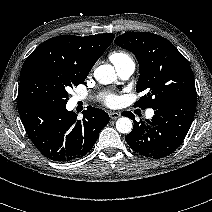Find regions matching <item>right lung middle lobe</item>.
Instances as JSON below:
<instances>
[{
  "mask_svg": "<svg viewBox=\"0 0 212 212\" xmlns=\"http://www.w3.org/2000/svg\"><path fill=\"white\" fill-rule=\"evenodd\" d=\"M85 79H76L46 67H33L20 75L18 100H42L66 104L67 89Z\"/></svg>",
  "mask_w": 212,
  "mask_h": 212,
  "instance_id": "dd1d6c3e",
  "label": "right lung middle lobe"
}]
</instances>
